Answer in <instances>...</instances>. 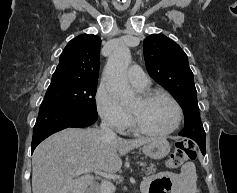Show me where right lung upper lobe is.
Returning a JSON list of instances; mask_svg holds the SVG:
<instances>
[{"mask_svg":"<svg viewBox=\"0 0 237 193\" xmlns=\"http://www.w3.org/2000/svg\"><path fill=\"white\" fill-rule=\"evenodd\" d=\"M101 39L83 34L72 39L64 48L53 76L97 81Z\"/></svg>","mask_w":237,"mask_h":193,"instance_id":"right-lung-upper-lobe-1","label":"right lung upper lobe"}]
</instances>
